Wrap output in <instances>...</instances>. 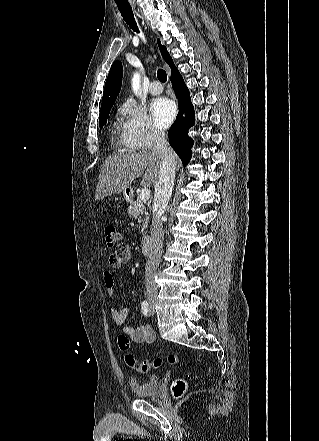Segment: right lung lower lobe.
I'll list each match as a JSON object with an SVG mask.
<instances>
[{"label":"right lung lower lobe","instance_id":"98d812e1","mask_svg":"<svg viewBox=\"0 0 319 441\" xmlns=\"http://www.w3.org/2000/svg\"><path fill=\"white\" fill-rule=\"evenodd\" d=\"M171 83L178 98L179 113L168 131L169 143L184 165L191 158L193 140L188 136V129L194 125V109L190 101L189 90L177 69L171 72ZM185 113V117H183Z\"/></svg>","mask_w":319,"mask_h":441}]
</instances>
